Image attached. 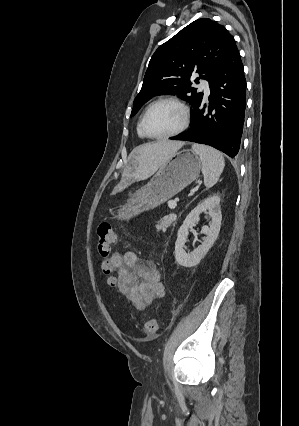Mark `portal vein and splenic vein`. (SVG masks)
<instances>
[{"label":"portal vein and splenic vein","instance_id":"obj_1","mask_svg":"<svg viewBox=\"0 0 299 426\" xmlns=\"http://www.w3.org/2000/svg\"><path fill=\"white\" fill-rule=\"evenodd\" d=\"M176 206H177V200H173V201H171V202L169 203V207H170L171 209H174Z\"/></svg>","mask_w":299,"mask_h":426}]
</instances>
